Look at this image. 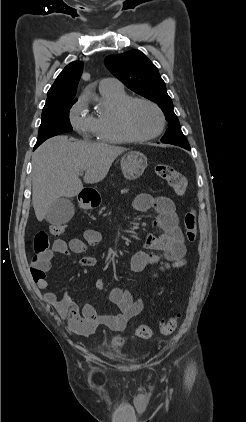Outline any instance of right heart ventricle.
Returning a JSON list of instances; mask_svg holds the SVG:
<instances>
[{"label": "right heart ventricle", "instance_id": "right-heart-ventricle-1", "mask_svg": "<svg viewBox=\"0 0 246 422\" xmlns=\"http://www.w3.org/2000/svg\"><path fill=\"white\" fill-rule=\"evenodd\" d=\"M105 104V111L95 119V137L103 143L123 144L132 140L121 129L117 111L119 107L131 98L123 88L100 90Z\"/></svg>", "mask_w": 246, "mask_h": 422}]
</instances>
